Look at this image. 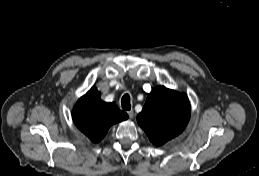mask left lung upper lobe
Segmentation results:
<instances>
[{
    "mask_svg": "<svg viewBox=\"0 0 259 176\" xmlns=\"http://www.w3.org/2000/svg\"><path fill=\"white\" fill-rule=\"evenodd\" d=\"M190 118L186 95L164 86H157L147 97L137 122L155 145H163L179 135Z\"/></svg>",
    "mask_w": 259,
    "mask_h": 176,
    "instance_id": "5c2ea615",
    "label": "left lung upper lobe"
}]
</instances>
